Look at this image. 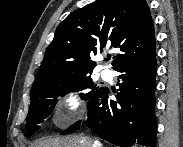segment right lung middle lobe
I'll return each instance as SVG.
<instances>
[{"mask_svg": "<svg viewBox=\"0 0 183 147\" xmlns=\"http://www.w3.org/2000/svg\"><path fill=\"white\" fill-rule=\"evenodd\" d=\"M99 88L94 85L89 75H84L58 79L44 87L32 90L31 104L26 118V137L34 134L39 129L38 125L52 113L59 96H64L69 91H85V93H81V98L88 100Z\"/></svg>", "mask_w": 183, "mask_h": 147, "instance_id": "dd1d6c3e", "label": "right lung middle lobe"}]
</instances>
